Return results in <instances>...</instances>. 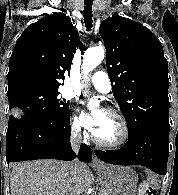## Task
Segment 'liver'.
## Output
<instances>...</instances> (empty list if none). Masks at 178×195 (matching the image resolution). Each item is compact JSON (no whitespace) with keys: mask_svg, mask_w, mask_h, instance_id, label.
Returning <instances> with one entry per match:
<instances>
[{"mask_svg":"<svg viewBox=\"0 0 178 195\" xmlns=\"http://www.w3.org/2000/svg\"><path fill=\"white\" fill-rule=\"evenodd\" d=\"M71 163L58 160H35L11 164V195H81L92 185L94 176L80 163L76 176Z\"/></svg>","mask_w":178,"mask_h":195,"instance_id":"obj_1","label":"liver"}]
</instances>
